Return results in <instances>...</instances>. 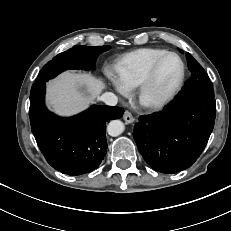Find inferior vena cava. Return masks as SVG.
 Segmentation results:
<instances>
[{
    "label": "inferior vena cava",
    "mask_w": 231,
    "mask_h": 231,
    "mask_svg": "<svg viewBox=\"0 0 231 231\" xmlns=\"http://www.w3.org/2000/svg\"><path fill=\"white\" fill-rule=\"evenodd\" d=\"M100 100L109 106H115L118 102L117 96L111 92L104 93Z\"/></svg>",
    "instance_id": "obj_1"
}]
</instances>
